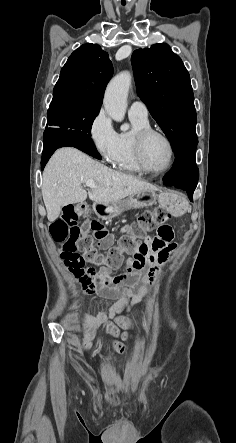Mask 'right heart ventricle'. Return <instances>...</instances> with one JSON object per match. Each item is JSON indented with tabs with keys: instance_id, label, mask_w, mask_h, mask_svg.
<instances>
[{
	"instance_id": "1",
	"label": "right heart ventricle",
	"mask_w": 236,
	"mask_h": 443,
	"mask_svg": "<svg viewBox=\"0 0 236 443\" xmlns=\"http://www.w3.org/2000/svg\"><path fill=\"white\" fill-rule=\"evenodd\" d=\"M130 119L133 127L131 130L119 134V155L114 164L122 171L139 173L141 171L135 162L133 139L138 130L149 127L150 124L148 119H140L137 117H130Z\"/></svg>"
}]
</instances>
